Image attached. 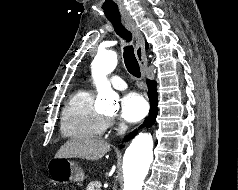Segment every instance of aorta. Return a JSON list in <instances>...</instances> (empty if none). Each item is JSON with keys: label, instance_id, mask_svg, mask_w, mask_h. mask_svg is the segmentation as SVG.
Returning a JSON list of instances; mask_svg holds the SVG:
<instances>
[{"label": "aorta", "instance_id": "1", "mask_svg": "<svg viewBox=\"0 0 238 190\" xmlns=\"http://www.w3.org/2000/svg\"><path fill=\"white\" fill-rule=\"evenodd\" d=\"M117 65V54L112 50L100 51L92 62V75L98 91L97 104L108 108L118 101L107 75ZM153 161V140L150 134L140 133L126 149L123 160V190H142L143 182Z\"/></svg>", "mask_w": 238, "mask_h": 190}]
</instances>
